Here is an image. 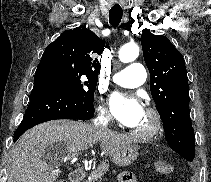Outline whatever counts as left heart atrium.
Segmentation results:
<instances>
[{"label":"left heart atrium","mask_w":211,"mask_h":182,"mask_svg":"<svg viewBox=\"0 0 211 182\" xmlns=\"http://www.w3.org/2000/svg\"><path fill=\"white\" fill-rule=\"evenodd\" d=\"M109 103L114 117L127 127L135 126L144 113L140 101L136 97L126 94L113 93Z\"/></svg>","instance_id":"obj_1"}]
</instances>
